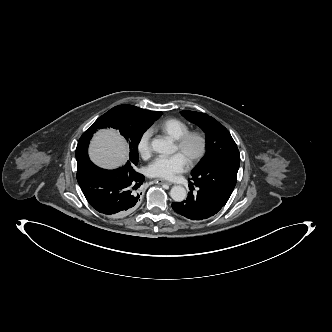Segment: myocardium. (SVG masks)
<instances>
[{
  "label": "myocardium",
  "instance_id": "myocardium-1",
  "mask_svg": "<svg viewBox=\"0 0 332 332\" xmlns=\"http://www.w3.org/2000/svg\"><path fill=\"white\" fill-rule=\"evenodd\" d=\"M192 141H197L198 147L194 152L189 153L188 147ZM176 147L180 153L186 154V161L190 165L198 163L206 154L208 147L207 136L199 130L187 131L176 140Z\"/></svg>",
  "mask_w": 332,
  "mask_h": 332
}]
</instances>
